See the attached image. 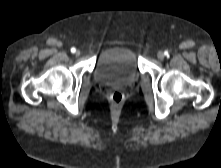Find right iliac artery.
<instances>
[{"label":"right iliac artery","instance_id":"right-iliac-artery-1","mask_svg":"<svg viewBox=\"0 0 221 168\" xmlns=\"http://www.w3.org/2000/svg\"><path fill=\"white\" fill-rule=\"evenodd\" d=\"M71 52H72V53H75V52H76V49H75L74 47H72V48H71Z\"/></svg>","mask_w":221,"mask_h":168}]
</instances>
